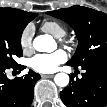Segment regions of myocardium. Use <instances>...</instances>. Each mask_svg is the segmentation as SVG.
Here are the masks:
<instances>
[{
    "label": "myocardium",
    "instance_id": "1",
    "mask_svg": "<svg viewBox=\"0 0 107 107\" xmlns=\"http://www.w3.org/2000/svg\"><path fill=\"white\" fill-rule=\"evenodd\" d=\"M60 42L62 44H66V45H71L72 44V42L70 40H67L65 38H60Z\"/></svg>",
    "mask_w": 107,
    "mask_h": 107
}]
</instances>
